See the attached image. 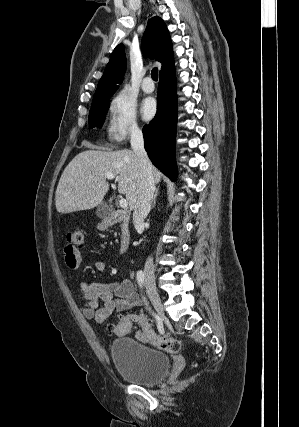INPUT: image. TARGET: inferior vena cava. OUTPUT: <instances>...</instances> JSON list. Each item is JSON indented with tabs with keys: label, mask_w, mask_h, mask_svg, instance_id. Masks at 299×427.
I'll list each match as a JSON object with an SVG mask.
<instances>
[{
	"label": "inferior vena cava",
	"mask_w": 299,
	"mask_h": 427,
	"mask_svg": "<svg viewBox=\"0 0 299 427\" xmlns=\"http://www.w3.org/2000/svg\"><path fill=\"white\" fill-rule=\"evenodd\" d=\"M130 143L138 159L140 177L139 193L133 211V224L138 229L144 226V220L150 212L155 192V183L152 165L144 148L143 134L138 127L132 129ZM144 272L146 275L154 274L153 259L151 257L146 260Z\"/></svg>",
	"instance_id": "602c4592"
}]
</instances>
